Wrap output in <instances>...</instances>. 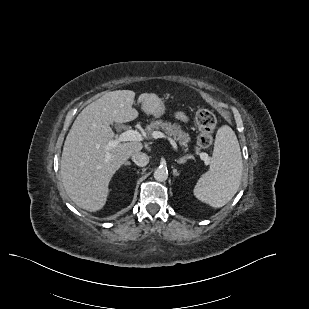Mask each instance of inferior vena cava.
<instances>
[{"instance_id":"602c4592","label":"inferior vena cava","mask_w":309,"mask_h":309,"mask_svg":"<svg viewBox=\"0 0 309 309\" xmlns=\"http://www.w3.org/2000/svg\"><path fill=\"white\" fill-rule=\"evenodd\" d=\"M131 158L132 161L140 167H144L149 163V157L143 152H135L132 154Z\"/></svg>"}]
</instances>
